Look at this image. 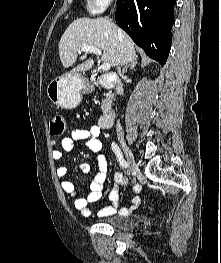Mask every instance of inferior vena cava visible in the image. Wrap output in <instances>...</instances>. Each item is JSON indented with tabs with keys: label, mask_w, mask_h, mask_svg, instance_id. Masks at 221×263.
Segmentation results:
<instances>
[{
	"label": "inferior vena cava",
	"mask_w": 221,
	"mask_h": 263,
	"mask_svg": "<svg viewBox=\"0 0 221 263\" xmlns=\"http://www.w3.org/2000/svg\"><path fill=\"white\" fill-rule=\"evenodd\" d=\"M118 73L120 74V68L119 67H118ZM116 131H117L118 136H122V134H123L122 133V127H121L119 121H117Z\"/></svg>",
	"instance_id": "inferior-vena-cava-1"
}]
</instances>
